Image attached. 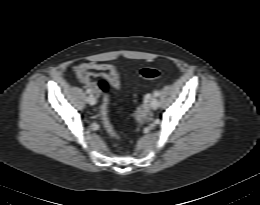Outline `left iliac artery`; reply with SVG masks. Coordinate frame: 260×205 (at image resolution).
I'll return each instance as SVG.
<instances>
[{
	"label": "left iliac artery",
	"mask_w": 260,
	"mask_h": 205,
	"mask_svg": "<svg viewBox=\"0 0 260 205\" xmlns=\"http://www.w3.org/2000/svg\"><path fill=\"white\" fill-rule=\"evenodd\" d=\"M160 95V92L158 91V90H156L155 92H154V96L155 97H158Z\"/></svg>",
	"instance_id": "1"
}]
</instances>
